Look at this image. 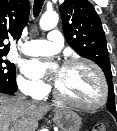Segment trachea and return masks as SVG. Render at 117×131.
Instances as JSON below:
<instances>
[{
    "label": "trachea",
    "instance_id": "1",
    "mask_svg": "<svg viewBox=\"0 0 117 131\" xmlns=\"http://www.w3.org/2000/svg\"><path fill=\"white\" fill-rule=\"evenodd\" d=\"M44 0H34L33 14L37 17L40 13Z\"/></svg>",
    "mask_w": 117,
    "mask_h": 131
}]
</instances>
